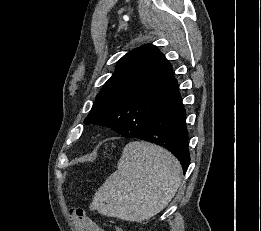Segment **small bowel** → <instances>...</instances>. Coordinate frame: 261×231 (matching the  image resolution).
Listing matches in <instances>:
<instances>
[{"instance_id": "small-bowel-1", "label": "small bowel", "mask_w": 261, "mask_h": 231, "mask_svg": "<svg viewBox=\"0 0 261 231\" xmlns=\"http://www.w3.org/2000/svg\"><path fill=\"white\" fill-rule=\"evenodd\" d=\"M75 230L79 231L77 227H75ZM86 231H104V229L92 222V226L88 228Z\"/></svg>"}]
</instances>
